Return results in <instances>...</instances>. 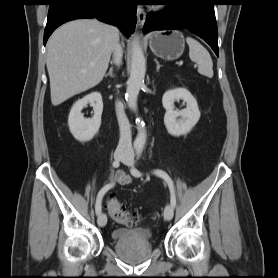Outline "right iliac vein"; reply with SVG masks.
I'll return each mask as SVG.
<instances>
[{
	"label": "right iliac vein",
	"mask_w": 278,
	"mask_h": 278,
	"mask_svg": "<svg viewBox=\"0 0 278 278\" xmlns=\"http://www.w3.org/2000/svg\"><path fill=\"white\" fill-rule=\"evenodd\" d=\"M126 157H127V154L125 152H122V151H117L114 154V158L117 161H120V160L122 161ZM97 222H98L99 226L104 227L106 225V223H107L106 215L104 213H100L99 216H98Z\"/></svg>",
	"instance_id": "obj_1"
}]
</instances>
